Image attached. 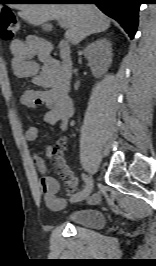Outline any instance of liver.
<instances>
[{"instance_id": "obj_1", "label": "liver", "mask_w": 156, "mask_h": 266, "mask_svg": "<svg viewBox=\"0 0 156 266\" xmlns=\"http://www.w3.org/2000/svg\"><path fill=\"white\" fill-rule=\"evenodd\" d=\"M18 15L32 25L58 19L67 24L65 38L76 45L91 34L106 31L110 20L91 4H15Z\"/></svg>"}]
</instances>
